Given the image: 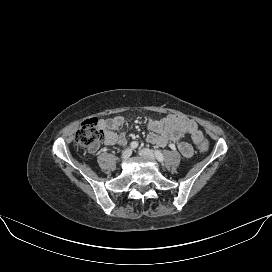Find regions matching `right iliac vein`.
I'll use <instances>...</instances> for the list:
<instances>
[{
	"label": "right iliac vein",
	"mask_w": 272,
	"mask_h": 272,
	"mask_svg": "<svg viewBox=\"0 0 272 272\" xmlns=\"http://www.w3.org/2000/svg\"><path fill=\"white\" fill-rule=\"evenodd\" d=\"M131 154H132V150L128 148V149H126V150H124V151L122 152L121 158H122L123 160H127V159L131 156Z\"/></svg>",
	"instance_id": "obj_1"
}]
</instances>
